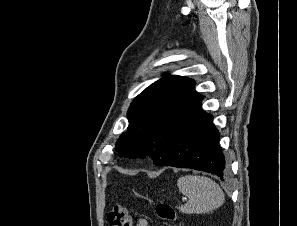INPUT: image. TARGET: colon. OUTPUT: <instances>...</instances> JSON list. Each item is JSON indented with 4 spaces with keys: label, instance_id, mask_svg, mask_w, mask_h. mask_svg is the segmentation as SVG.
Returning a JSON list of instances; mask_svg holds the SVG:
<instances>
[{
    "label": "colon",
    "instance_id": "5ec220e1",
    "mask_svg": "<svg viewBox=\"0 0 297 226\" xmlns=\"http://www.w3.org/2000/svg\"><path fill=\"white\" fill-rule=\"evenodd\" d=\"M156 215L163 221H175L176 214L171 205L159 203L156 206ZM108 223L110 226H132V218L128 210L122 205H115L108 213Z\"/></svg>",
    "mask_w": 297,
    "mask_h": 226
}]
</instances>
